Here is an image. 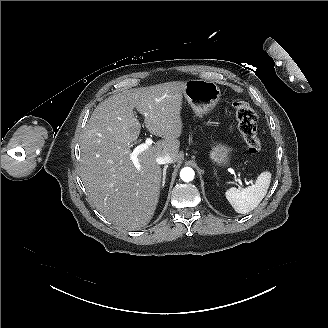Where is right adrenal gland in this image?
<instances>
[{"label":"right adrenal gland","instance_id":"1","mask_svg":"<svg viewBox=\"0 0 328 328\" xmlns=\"http://www.w3.org/2000/svg\"><path fill=\"white\" fill-rule=\"evenodd\" d=\"M166 169L167 167L165 166L164 167V171H163V181H162V188L165 186V180H166Z\"/></svg>","mask_w":328,"mask_h":328}]
</instances>
